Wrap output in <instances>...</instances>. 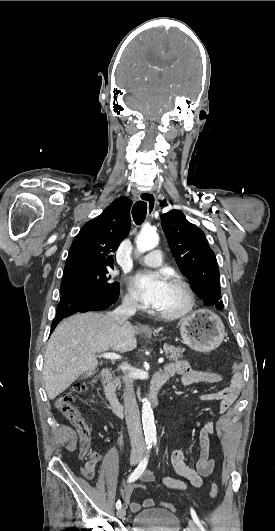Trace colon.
<instances>
[{
    "mask_svg": "<svg viewBox=\"0 0 275 531\" xmlns=\"http://www.w3.org/2000/svg\"><path fill=\"white\" fill-rule=\"evenodd\" d=\"M232 369L234 371H239L241 369L240 362H233ZM91 387L88 383H78L75 384L70 392L61 394L55 402L56 408L69 420V422L76 429L80 437V456L85 458L91 449L92 444V432L91 427L88 424L83 413L73 405L74 397L87 391ZM82 474L85 478L91 479L93 477V470L91 465H85L81 469ZM132 486H139L141 491L145 489L143 484ZM127 492V491H126ZM218 494V485L213 482L209 489V498L214 499ZM162 507L172 510V506L168 503H161Z\"/></svg>",
    "mask_w": 275,
    "mask_h": 531,
    "instance_id": "5ec220e1",
    "label": "colon"
}]
</instances>
